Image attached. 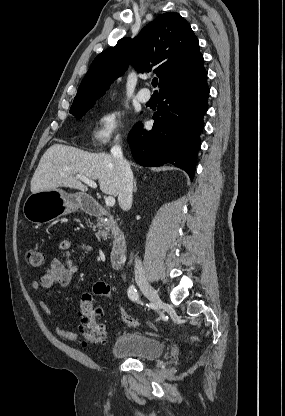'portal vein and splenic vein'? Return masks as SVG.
Here are the masks:
<instances>
[{
	"label": "portal vein and splenic vein",
	"mask_w": 285,
	"mask_h": 416,
	"mask_svg": "<svg viewBox=\"0 0 285 416\" xmlns=\"http://www.w3.org/2000/svg\"><path fill=\"white\" fill-rule=\"evenodd\" d=\"M76 178H79L81 182H84V184H87V186H90V188H97V184H95L93 180H89V178H86V176H80V174H77ZM105 204L106 206H115V198H112V196H108V198H105Z\"/></svg>",
	"instance_id": "obj_1"
}]
</instances>
